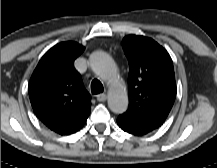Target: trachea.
<instances>
[{"mask_svg": "<svg viewBox=\"0 0 217 168\" xmlns=\"http://www.w3.org/2000/svg\"><path fill=\"white\" fill-rule=\"evenodd\" d=\"M91 92L92 94H99L103 92V85L99 80L94 79L91 82Z\"/></svg>", "mask_w": 217, "mask_h": 168, "instance_id": "3493384b", "label": "trachea"}]
</instances>
